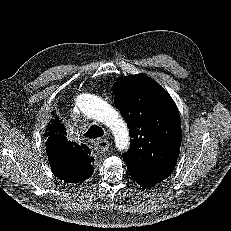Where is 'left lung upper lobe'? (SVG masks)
<instances>
[{
	"label": "left lung upper lobe",
	"mask_w": 231,
	"mask_h": 231,
	"mask_svg": "<svg viewBox=\"0 0 231 231\" xmlns=\"http://www.w3.org/2000/svg\"><path fill=\"white\" fill-rule=\"evenodd\" d=\"M115 105L132 137L123 154L128 168L173 171L181 145V121L169 94L154 80L138 74L114 84Z\"/></svg>",
	"instance_id": "5c2ea615"
}]
</instances>
